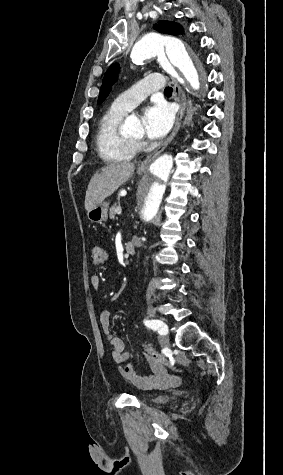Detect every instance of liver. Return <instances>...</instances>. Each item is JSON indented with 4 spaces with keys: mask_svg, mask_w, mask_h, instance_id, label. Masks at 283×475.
Masks as SVG:
<instances>
[{
    "mask_svg": "<svg viewBox=\"0 0 283 475\" xmlns=\"http://www.w3.org/2000/svg\"><path fill=\"white\" fill-rule=\"evenodd\" d=\"M134 172V164L128 162H115L101 168L92 176L85 196V210H93L104 202L105 198L112 196L122 184L128 182Z\"/></svg>",
    "mask_w": 283,
    "mask_h": 475,
    "instance_id": "liver-1",
    "label": "liver"
}]
</instances>
